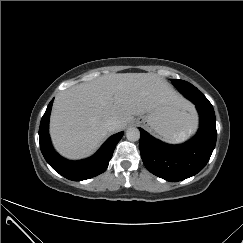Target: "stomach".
Wrapping results in <instances>:
<instances>
[{"label": "stomach", "instance_id": "obj_1", "mask_svg": "<svg viewBox=\"0 0 243 243\" xmlns=\"http://www.w3.org/2000/svg\"><path fill=\"white\" fill-rule=\"evenodd\" d=\"M138 123L155 131L168 142L186 139L196 128L197 117L194 108L175 105H160L146 115L139 116Z\"/></svg>", "mask_w": 243, "mask_h": 243}]
</instances>
